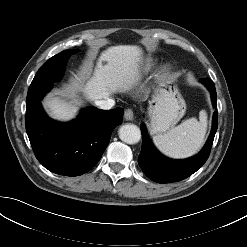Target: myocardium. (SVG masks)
Instances as JSON below:
<instances>
[{
	"instance_id": "f54148a6",
	"label": "myocardium",
	"mask_w": 247,
	"mask_h": 247,
	"mask_svg": "<svg viewBox=\"0 0 247 247\" xmlns=\"http://www.w3.org/2000/svg\"><path fill=\"white\" fill-rule=\"evenodd\" d=\"M171 71H172V68L170 65H168V64L163 65L159 71L158 77L160 79H166L170 76Z\"/></svg>"
}]
</instances>
